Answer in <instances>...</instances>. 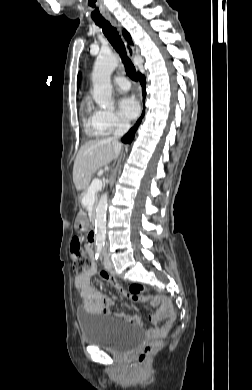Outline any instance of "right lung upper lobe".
Returning <instances> with one entry per match:
<instances>
[{
	"mask_svg": "<svg viewBox=\"0 0 252 390\" xmlns=\"http://www.w3.org/2000/svg\"><path fill=\"white\" fill-rule=\"evenodd\" d=\"M123 34H124L126 40H128V41L131 43V37H130V35L128 34V32H127L126 30H124ZM80 78H81L80 75H78V78H77V83H78V84H79V82H80Z\"/></svg>",
	"mask_w": 252,
	"mask_h": 390,
	"instance_id": "obj_1",
	"label": "right lung upper lobe"
}]
</instances>
